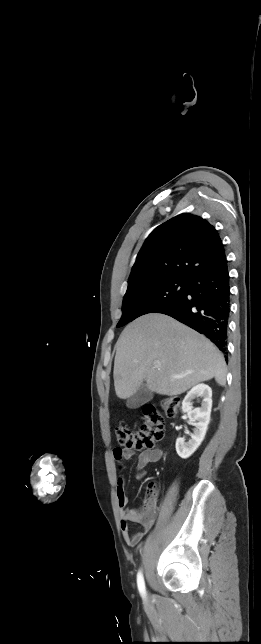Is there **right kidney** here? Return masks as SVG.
Wrapping results in <instances>:
<instances>
[{
    "label": "right kidney",
    "mask_w": 261,
    "mask_h": 644,
    "mask_svg": "<svg viewBox=\"0 0 261 644\" xmlns=\"http://www.w3.org/2000/svg\"><path fill=\"white\" fill-rule=\"evenodd\" d=\"M198 397L203 398L201 407L193 409L192 400ZM211 408L212 390L208 385L198 384L185 396L182 402V409L184 412H187V417L195 428L193 429V433L186 432L191 437L188 442L185 441L184 437L176 440V451L181 458L186 459L190 457L200 446L208 428Z\"/></svg>",
    "instance_id": "ca27d5eb"
}]
</instances>
